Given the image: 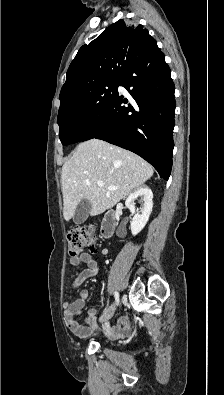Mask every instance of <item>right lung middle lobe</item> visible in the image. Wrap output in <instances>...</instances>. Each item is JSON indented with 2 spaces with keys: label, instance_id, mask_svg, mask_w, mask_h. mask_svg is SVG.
<instances>
[{
  "label": "right lung middle lobe",
  "instance_id": "dd1d6c3e",
  "mask_svg": "<svg viewBox=\"0 0 224 395\" xmlns=\"http://www.w3.org/2000/svg\"><path fill=\"white\" fill-rule=\"evenodd\" d=\"M121 78L89 86L61 101L58 113L59 137L63 145L81 141L98 116L118 93Z\"/></svg>",
  "mask_w": 224,
  "mask_h": 395
}]
</instances>
